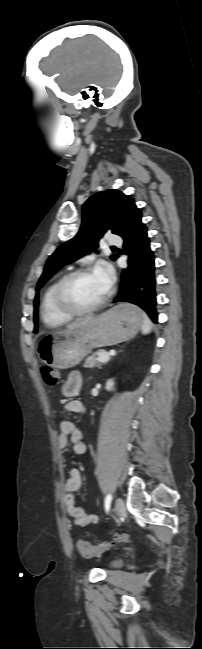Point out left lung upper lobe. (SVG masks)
Masks as SVG:
<instances>
[{
    "label": "left lung upper lobe",
    "instance_id": "5c2ea615",
    "mask_svg": "<svg viewBox=\"0 0 202 649\" xmlns=\"http://www.w3.org/2000/svg\"><path fill=\"white\" fill-rule=\"evenodd\" d=\"M140 216L141 211L136 207L134 199L119 190H106L91 196L83 205L82 224L78 233L61 244L48 258L36 291L38 292L60 268L90 254L98 247V241L104 233L111 230L112 233L122 236L132 221ZM117 257L116 254L111 256L112 259ZM38 306L39 294H36L34 333L38 331Z\"/></svg>",
    "mask_w": 202,
    "mask_h": 649
}]
</instances>
